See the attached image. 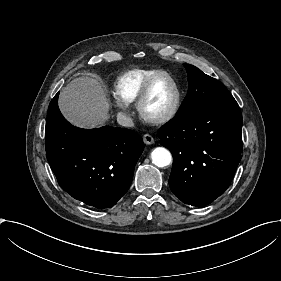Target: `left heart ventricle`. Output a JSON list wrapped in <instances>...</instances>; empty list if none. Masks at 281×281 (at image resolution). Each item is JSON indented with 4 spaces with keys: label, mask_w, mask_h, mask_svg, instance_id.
Here are the masks:
<instances>
[{
    "label": "left heart ventricle",
    "mask_w": 281,
    "mask_h": 281,
    "mask_svg": "<svg viewBox=\"0 0 281 281\" xmlns=\"http://www.w3.org/2000/svg\"><path fill=\"white\" fill-rule=\"evenodd\" d=\"M173 94L171 82L168 79L160 80L155 85L152 95L145 105L147 113L153 116L165 114L171 107Z\"/></svg>",
    "instance_id": "obj_1"
}]
</instances>
